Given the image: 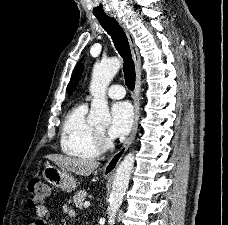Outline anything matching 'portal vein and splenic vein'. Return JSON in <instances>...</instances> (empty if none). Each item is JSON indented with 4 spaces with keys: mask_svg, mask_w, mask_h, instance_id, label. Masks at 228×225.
I'll return each mask as SVG.
<instances>
[{
    "mask_svg": "<svg viewBox=\"0 0 228 225\" xmlns=\"http://www.w3.org/2000/svg\"><path fill=\"white\" fill-rule=\"evenodd\" d=\"M90 203H84V207H89Z\"/></svg>",
    "mask_w": 228,
    "mask_h": 225,
    "instance_id": "obj_1",
    "label": "portal vein and splenic vein"
}]
</instances>
